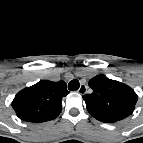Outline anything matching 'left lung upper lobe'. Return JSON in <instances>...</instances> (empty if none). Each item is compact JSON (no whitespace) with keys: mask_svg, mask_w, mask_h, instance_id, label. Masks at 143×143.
Masks as SVG:
<instances>
[{"mask_svg":"<svg viewBox=\"0 0 143 143\" xmlns=\"http://www.w3.org/2000/svg\"><path fill=\"white\" fill-rule=\"evenodd\" d=\"M93 92L83 99L89 113L102 122H116L132 114L137 95L132 88L100 74L89 81Z\"/></svg>","mask_w":143,"mask_h":143,"instance_id":"5c2ea615","label":"left lung upper lobe"}]
</instances>
